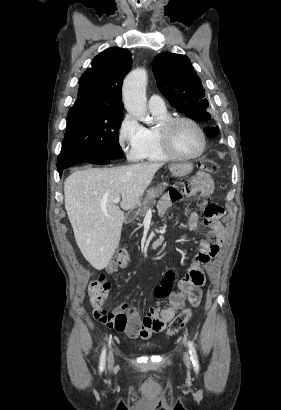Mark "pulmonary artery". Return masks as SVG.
Returning a JSON list of instances; mask_svg holds the SVG:
<instances>
[{
    "label": "pulmonary artery",
    "instance_id": "obj_1",
    "mask_svg": "<svg viewBox=\"0 0 281 410\" xmlns=\"http://www.w3.org/2000/svg\"><path fill=\"white\" fill-rule=\"evenodd\" d=\"M148 106L150 110H158V111L166 110L164 100L162 99V97H160L157 94H152L149 97Z\"/></svg>",
    "mask_w": 281,
    "mask_h": 410
}]
</instances>
